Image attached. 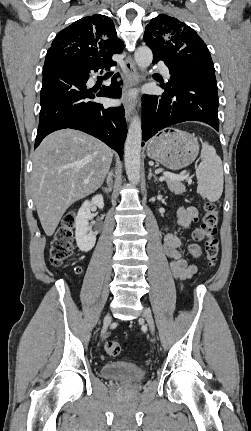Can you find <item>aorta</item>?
<instances>
[{
	"mask_svg": "<svg viewBox=\"0 0 251 431\" xmlns=\"http://www.w3.org/2000/svg\"><path fill=\"white\" fill-rule=\"evenodd\" d=\"M135 61L141 70H145L153 60L150 48L141 46L135 51ZM142 142L141 120L138 116L132 119L124 148L125 169L128 180L137 184L140 181V152Z\"/></svg>",
	"mask_w": 251,
	"mask_h": 431,
	"instance_id": "obj_1",
	"label": "aorta"
}]
</instances>
